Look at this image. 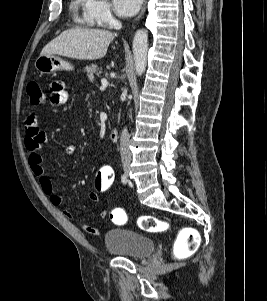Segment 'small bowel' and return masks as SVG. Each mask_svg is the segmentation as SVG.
Returning <instances> with one entry per match:
<instances>
[{
    "instance_id": "c3829d8e",
    "label": "small bowel",
    "mask_w": 267,
    "mask_h": 301,
    "mask_svg": "<svg viewBox=\"0 0 267 301\" xmlns=\"http://www.w3.org/2000/svg\"><path fill=\"white\" fill-rule=\"evenodd\" d=\"M69 94L66 89V84L62 80H56L51 84L50 88V104L52 106L64 105L68 100ZM47 141V137L44 132L39 127L38 117L36 112H31L25 120V137L24 145L29 152L28 162L32 173L38 178L39 185L47 195L54 205H61L63 203V198L57 194L53 182L45 173L42 166L43 159L40 154V149L43 144ZM76 147L73 144H68L64 148V153L71 156L75 153ZM89 200L91 202H98L100 196L95 191H90L88 194ZM64 215L71 217V212L69 210L63 211ZM107 212L105 210L100 212V216L104 218ZM86 232L92 235H99L100 231L97 228L84 225Z\"/></svg>"
}]
</instances>
